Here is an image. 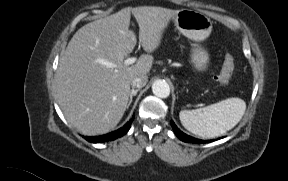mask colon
Returning a JSON list of instances; mask_svg holds the SVG:
<instances>
[{
    "label": "colon",
    "mask_w": 288,
    "mask_h": 181,
    "mask_svg": "<svg viewBox=\"0 0 288 181\" xmlns=\"http://www.w3.org/2000/svg\"><path fill=\"white\" fill-rule=\"evenodd\" d=\"M235 63L234 58L230 54H226L224 60L221 63V69L219 74L216 76V80L222 86H227L230 83Z\"/></svg>",
    "instance_id": "colon-1"
}]
</instances>
